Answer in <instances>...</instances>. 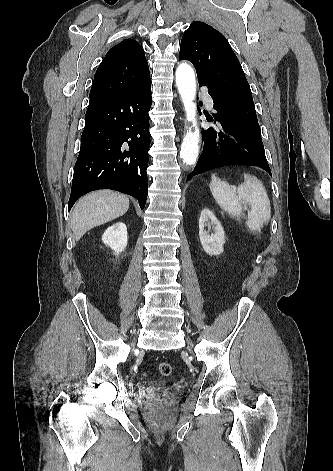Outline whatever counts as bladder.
I'll use <instances>...</instances> for the list:
<instances>
[{"label":"bladder","instance_id":"1","mask_svg":"<svg viewBox=\"0 0 333 471\" xmlns=\"http://www.w3.org/2000/svg\"><path fill=\"white\" fill-rule=\"evenodd\" d=\"M164 385H165V383L160 382V383H158L156 386H157L158 388H161V387H163Z\"/></svg>","mask_w":333,"mask_h":471}]
</instances>
